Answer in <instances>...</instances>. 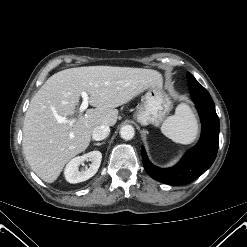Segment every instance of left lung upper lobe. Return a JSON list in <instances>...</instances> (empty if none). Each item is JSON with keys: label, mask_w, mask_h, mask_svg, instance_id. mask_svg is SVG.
<instances>
[{"label": "left lung upper lobe", "mask_w": 247, "mask_h": 247, "mask_svg": "<svg viewBox=\"0 0 247 247\" xmlns=\"http://www.w3.org/2000/svg\"><path fill=\"white\" fill-rule=\"evenodd\" d=\"M193 76L190 73H187V79L192 78Z\"/></svg>", "instance_id": "obj_1"}]
</instances>
